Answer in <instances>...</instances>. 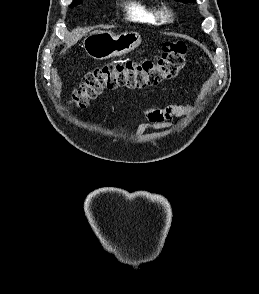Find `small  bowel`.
Wrapping results in <instances>:
<instances>
[{
    "mask_svg": "<svg viewBox=\"0 0 259 294\" xmlns=\"http://www.w3.org/2000/svg\"><path fill=\"white\" fill-rule=\"evenodd\" d=\"M193 106L190 104L185 105H168L165 107H152L145 111L147 119L152 124H169V120L173 117H181L190 114L193 111ZM135 113L138 110L134 111ZM145 126H140L137 134L141 137L144 136ZM168 134L169 130L163 132ZM161 136V134H158Z\"/></svg>",
    "mask_w": 259,
    "mask_h": 294,
    "instance_id": "obj_1",
    "label": "small bowel"
}]
</instances>
